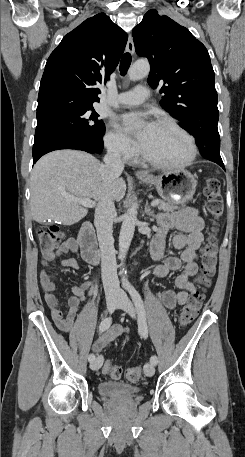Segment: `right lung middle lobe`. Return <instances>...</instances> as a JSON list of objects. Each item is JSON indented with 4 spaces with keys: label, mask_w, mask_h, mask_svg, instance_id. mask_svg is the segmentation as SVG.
Instances as JSON below:
<instances>
[{
    "label": "right lung middle lobe",
    "mask_w": 245,
    "mask_h": 457,
    "mask_svg": "<svg viewBox=\"0 0 245 457\" xmlns=\"http://www.w3.org/2000/svg\"><path fill=\"white\" fill-rule=\"evenodd\" d=\"M91 102H62L50 110L37 112L35 139L66 133L87 141L96 153L103 149L104 123Z\"/></svg>",
    "instance_id": "1"
}]
</instances>
